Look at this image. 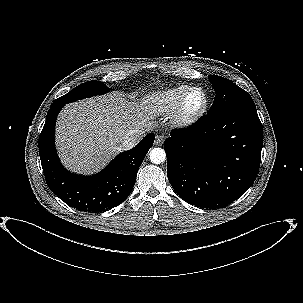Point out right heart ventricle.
I'll return each mask as SVG.
<instances>
[{
    "label": "right heart ventricle",
    "instance_id": "obj_1",
    "mask_svg": "<svg viewBox=\"0 0 303 303\" xmlns=\"http://www.w3.org/2000/svg\"><path fill=\"white\" fill-rule=\"evenodd\" d=\"M191 88L185 84L149 93L143 100V109L150 116H160L173 111L181 98Z\"/></svg>",
    "mask_w": 303,
    "mask_h": 303
}]
</instances>
